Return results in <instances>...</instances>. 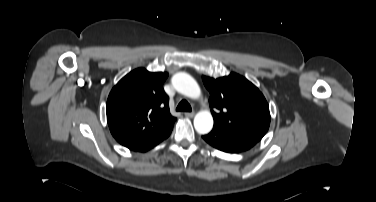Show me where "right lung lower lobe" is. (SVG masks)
<instances>
[{
  "label": "right lung lower lobe",
  "mask_w": 376,
  "mask_h": 202,
  "mask_svg": "<svg viewBox=\"0 0 376 202\" xmlns=\"http://www.w3.org/2000/svg\"><path fill=\"white\" fill-rule=\"evenodd\" d=\"M171 131H172V129L169 130L168 132L164 133L162 136H160V138L156 142H154L150 145L135 149V151H140V152L148 151L149 149L153 148L155 145L159 144L161 141L165 140L170 135Z\"/></svg>",
  "instance_id": "98d812e1"
}]
</instances>
